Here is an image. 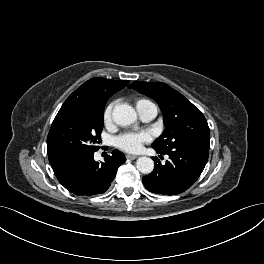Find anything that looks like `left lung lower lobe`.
Returning <instances> with one entry per match:
<instances>
[{
    "label": "left lung lower lobe",
    "instance_id": "left-lung-lower-lobe-1",
    "mask_svg": "<svg viewBox=\"0 0 264 264\" xmlns=\"http://www.w3.org/2000/svg\"><path fill=\"white\" fill-rule=\"evenodd\" d=\"M156 152L169 155V160L162 165L153 158L155 168L142 178L143 184L152 193L175 195L187 190L199 178L208 160L209 148L181 144L167 152Z\"/></svg>",
    "mask_w": 264,
    "mask_h": 264
}]
</instances>
